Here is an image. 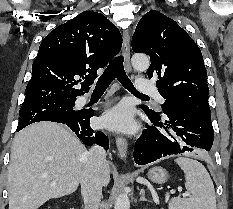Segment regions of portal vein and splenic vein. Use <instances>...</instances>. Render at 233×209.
Masks as SVG:
<instances>
[{
  "label": "portal vein and splenic vein",
  "instance_id": "obj_1",
  "mask_svg": "<svg viewBox=\"0 0 233 209\" xmlns=\"http://www.w3.org/2000/svg\"><path fill=\"white\" fill-rule=\"evenodd\" d=\"M51 185H52V186H55V185H56V182H52ZM178 190H179L180 192L182 191L181 188H179ZM185 195H186V194L184 193L183 196H185ZM168 199H169V195H167L166 201H168Z\"/></svg>",
  "mask_w": 233,
  "mask_h": 209
}]
</instances>
